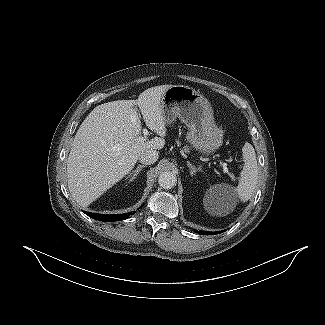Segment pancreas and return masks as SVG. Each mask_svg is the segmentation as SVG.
<instances>
[{
    "mask_svg": "<svg viewBox=\"0 0 325 325\" xmlns=\"http://www.w3.org/2000/svg\"><path fill=\"white\" fill-rule=\"evenodd\" d=\"M184 150H185V152H189V148H188V146H185V147H184Z\"/></svg>",
    "mask_w": 325,
    "mask_h": 325,
    "instance_id": "1",
    "label": "pancreas"
}]
</instances>
